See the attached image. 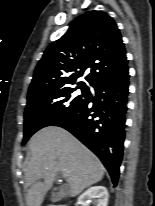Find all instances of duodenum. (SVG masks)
I'll use <instances>...</instances> for the list:
<instances>
[{
    "label": "duodenum",
    "instance_id": "410a0bca",
    "mask_svg": "<svg viewBox=\"0 0 155 206\" xmlns=\"http://www.w3.org/2000/svg\"><path fill=\"white\" fill-rule=\"evenodd\" d=\"M56 206H65V205H63V204H59V205H56Z\"/></svg>",
    "mask_w": 155,
    "mask_h": 206
}]
</instances>
